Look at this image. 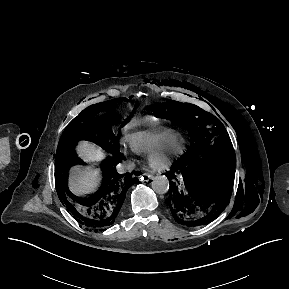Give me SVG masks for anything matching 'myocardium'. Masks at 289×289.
Returning a JSON list of instances; mask_svg holds the SVG:
<instances>
[{"instance_id": "myocardium-1", "label": "myocardium", "mask_w": 289, "mask_h": 289, "mask_svg": "<svg viewBox=\"0 0 289 289\" xmlns=\"http://www.w3.org/2000/svg\"><path fill=\"white\" fill-rule=\"evenodd\" d=\"M186 140L178 135L148 155V164L155 171L169 169L185 153Z\"/></svg>"}]
</instances>
